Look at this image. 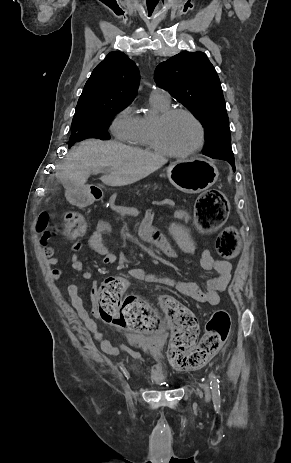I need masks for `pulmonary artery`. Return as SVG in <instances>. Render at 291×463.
<instances>
[{
  "mask_svg": "<svg viewBox=\"0 0 291 463\" xmlns=\"http://www.w3.org/2000/svg\"><path fill=\"white\" fill-rule=\"evenodd\" d=\"M154 99H157L163 103H170V95L169 93L162 88H154L151 92V96Z\"/></svg>",
  "mask_w": 291,
  "mask_h": 463,
  "instance_id": "e3ab8cb5",
  "label": "pulmonary artery"
}]
</instances>
